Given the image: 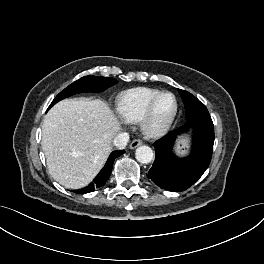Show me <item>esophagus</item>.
Segmentation results:
<instances>
[{"instance_id": "34e87169", "label": "esophagus", "mask_w": 264, "mask_h": 264, "mask_svg": "<svg viewBox=\"0 0 264 264\" xmlns=\"http://www.w3.org/2000/svg\"><path fill=\"white\" fill-rule=\"evenodd\" d=\"M141 144H142V141L140 139H135L130 143L129 147H130V149H135L136 147L140 146Z\"/></svg>"}]
</instances>
